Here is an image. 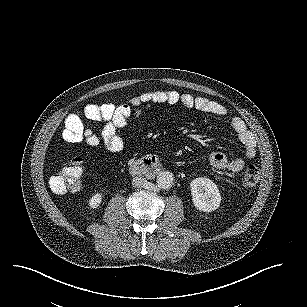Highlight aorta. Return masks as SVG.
<instances>
[{
  "label": "aorta",
  "mask_w": 307,
  "mask_h": 307,
  "mask_svg": "<svg viewBox=\"0 0 307 307\" xmlns=\"http://www.w3.org/2000/svg\"><path fill=\"white\" fill-rule=\"evenodd\" d=\"M156 183L159 188L167 190L170 189L174 184V175L169 171H162L156 178Z\"/></svg>",
  "instance_id": "obj_1"
}]
</instances>
